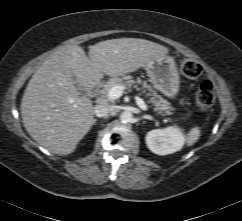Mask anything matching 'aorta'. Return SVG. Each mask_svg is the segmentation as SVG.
Masks as SVG:
<instances>
[{
    "label": "aorta",
    "mask_w": 242,
    "mask_h": 221,
    "mask_svg": "<svg viewBox=\"0 0 242 221\" xmlns=\"http://www.w3.org/2000/svg\"><path fill=\"white\" fill-rule=\"evenodd\" d=\"M133 119V115L130 111H123L121 114H120V120L121 122L123 123H129L131 122Z\"/></svg>",
    "instance_id": "1"
}]
</instances>
